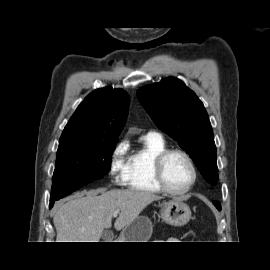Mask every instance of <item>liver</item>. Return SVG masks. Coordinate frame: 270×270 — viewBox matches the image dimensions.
Here are the masks:
<instances>
[{
    "label": "liver",
    "mask_w": 270,
    "mask_h": 270,
    "mask_svg": "<svg viewBox=\"0 0 270 270\" xmlns=\"http://www.w3.org/2000/svg\"><path fill=\"white\" fill-rule=\"evenodd\" d=\"M98 193L101 195L98 196ZM161 197L150 192L127 190H93L70 198L55 212L53 223L57 242H99L102 232L111 227L113 212L119 216L116 230L124 229L153 201Z\"/></svg>",
    "instance_id": "1"
}]
</instances>
